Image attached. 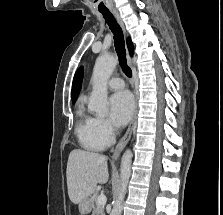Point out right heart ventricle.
<instances>
[{
  "mask_svg": "<svg viewBox=\"0 0 223 215\" xmlns=\"http://www.w3.org/2000/svg\"><path fill=\"white\" fill-rule=\"evenodd\" d=\"M75 133L80 144L87 150L102 151L108 145V141L104 140L95 128V118L83 106L77 110Z\"/></svg>",
  "mask_w": 223,
  "mask_h": 215,
  "instance_id": "e07e8e85",
  "label": "right heart ventricle"
}]
</instances>
